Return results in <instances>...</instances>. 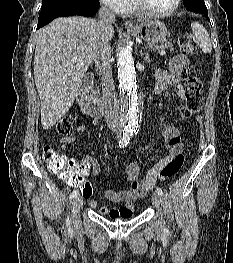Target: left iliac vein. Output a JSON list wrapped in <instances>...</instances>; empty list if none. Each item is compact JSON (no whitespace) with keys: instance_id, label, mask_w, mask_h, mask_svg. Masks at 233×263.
<instances>
[{"instance_id":"left-iliac-vein-1","label":"left iliac vein","mask_w":233,"mask_h":263,"mask_svg":"<svg viewBox=\"0 0 233 263\" xmlns=\"http://www.w3.org/2000/svg\"><path fill=\"white\" fill-rule=\"evenodd\" d=\"M151 201H152V204H153L155 207H157V208L160 207V205H161V197H160V195H159L158 193H154V194L152 195Z\"/></svg>"}]
</instances>
